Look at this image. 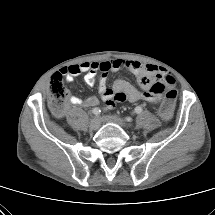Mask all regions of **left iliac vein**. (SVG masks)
<instances>
[{"instance_id": "1", "label": "left iliac vein", "mask_w": 215, "mask_h": 215, "mask_svg": "<svg viewBox=\"0 0 215 215\" xmlns=\"http://www.w3.org/2000/svg\"><path fill=\"white\" fill-rule=\"evenodd\" d=\"M100 119L102 122L114 123V124L119 125L120 127H123V128L127 126L126 122L117 116L106 115V116H102Z\"/></svg>"}]
</instances>
